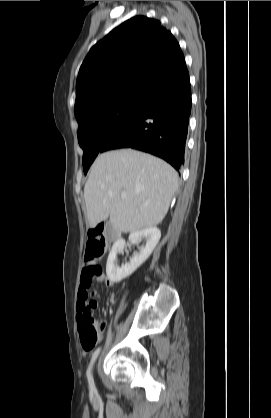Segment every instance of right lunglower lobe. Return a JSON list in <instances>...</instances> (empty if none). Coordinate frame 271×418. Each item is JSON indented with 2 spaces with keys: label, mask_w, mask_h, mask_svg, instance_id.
<instances>
[{
  "label": "right lung lower lobe",
  "mask_w": 271,
  "mask_h": 418,
  "mask_svg": "<svg viewBox=\"0 0 271 418\" xmlns=\"http://www.w3.org/2000/svg\"><path fill=\"white\" fill-rule=\"evenodd\" d=\"M191 104L189 73L185 66L178 77L106 138L99 153L134 148L161 157L179 170L184 162Z\"/></svg>",
  "instance_id": "1"
}]
</instances>
